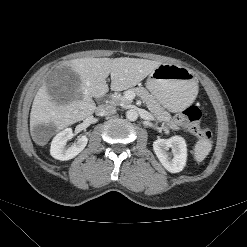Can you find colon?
Wrapping results in <instances>:
<instances>
[{"instance_id":"1","label":"colon","mask_w":247,"mask_h":247,"mask_svg":"<svg viewBox=\"0 0 247 247\" xmlns=\"http://www.w3.org/2000/svg\"><path fill=\"white\" fill-rule=\"evenodd\" d=\"M200 119L201 111L196 106H190L176 115L179 125L199 138L208 139L211 137V131L200 126Z\"/></svg>"}]
</instances>
